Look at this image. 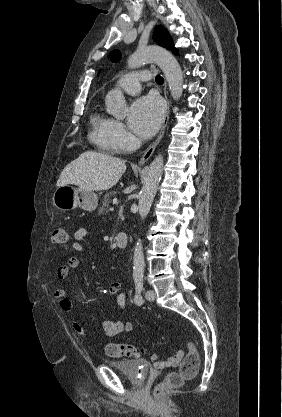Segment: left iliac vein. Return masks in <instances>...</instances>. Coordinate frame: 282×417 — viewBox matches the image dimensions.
<instances>
[{"instance_id":"1","label":"left iliac vein","mask_w":282,"mask_h":417,"mask_svg":"<svg viewBox=\"0 0 282 417\" xmlns=\"http://www.w3.org/2000/svg\"><path fill=\"white\" fill-rule=\"evenodd\" d=\"M145 297L148 301H154L155 300V292L153 290H148L145 293Z\"/></svg>"}]
</instances>
